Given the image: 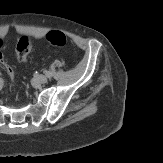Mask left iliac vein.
<instances>
[{
	"instance_id": "4c4485c4",
	"label": "left iliac vein",
	"mask_w": 163,
	"mask_h": 163,
	"mask_svg": "<svg viewBox=\"0 0 163 163\" xmlns=\"http://www.w3.org/2000/svg\"><path fill=\"white\" fill-rule=\"evenodd\" d=\"M37 81L41 84H45L48 81V78L45 75H39L37 77Z\"/></svg>"
}]
</instances>
